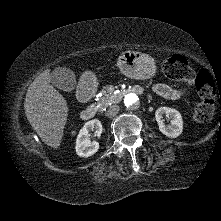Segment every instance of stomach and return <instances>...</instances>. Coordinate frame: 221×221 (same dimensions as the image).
Wrapping results in <instances>:
<instances>
[{"instance_id": "1", "label": "stomach", "mask_w": 221, "mask_h": 221, "mask_svg": "<svg viewBox=\"0 0 221 221\" xmlns=\"http://www.w3.org/2000/svg\"><path fill=\"white\" fill-rule=\"evenodd\" d=\"M120 71L132 79H148L156 74V65L149 55L137 51H125L118 59Z\"/></svg>"}]
</instances>
